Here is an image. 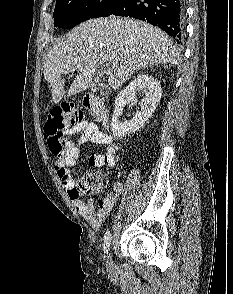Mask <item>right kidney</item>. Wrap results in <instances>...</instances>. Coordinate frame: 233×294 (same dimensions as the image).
Segmentation results:
<instances>
[{"mask_svg":"<svg viewBox=\"0 0 233 294\" xmlns=\"http://www.w3.org/2000/svg\"><path fill=\"white\" fill-rule=\"evenodd\" d=\"M142 92L145 97L141 100L140 111L134 114L130 121L121 122L119 116L122 114L126 103L135 102L136 93ZM162 96L160 83L147 73L139 74L129 85H127L116 97L115 109L112 116L111 129L117 138L135 133L152 116Z\"/></svg>","mask_w":233,"mask_h":294,"instance_id":"ca27d5eb","label":"right kidney"}]
</instances>
